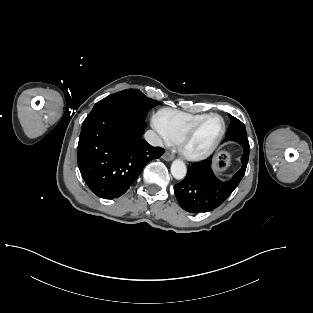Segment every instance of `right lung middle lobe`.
Listing matches in <instances>:
<instances>
[{
  "label": "right lung middle lobe",
  "mask_w": 313,
  "mask_h": 313,
  "mask_svg": "<svg viewBox=\"0 0 313 313\" xmlns=\"http://www.w3.org/2000/svg\"><path fill=\"white\" fill-rule=\"evenodd\" d=\"M158 105V101L145 96L137 89H126L109 95L97 102L91 113L102 109H121L128 112L138 120L144 121L148 111Z\"/></svg>",
  "instance_id": "dd1d6c3e"
}]
</instances>
